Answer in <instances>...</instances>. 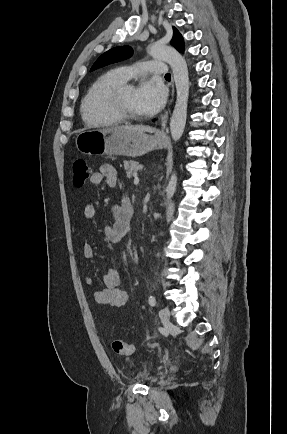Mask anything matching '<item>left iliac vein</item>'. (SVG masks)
I'll return each mask as SVG.
<instances>
[{"instance_id": "obj_1", "label": "left iliac vein", "mask_w": 287, "mask_h": 434, "mask_svg": "<svg viewBox=\"0 0 287 434\" xmlns=\"http://www.w3.org/2000/svg\"><path fill=\"white\" fill-rule=\"evenodd\" d=\"M159 317H160V319H161V321H162V323L164 325L167 324L169 322V319H170V311H169V309L166 308V307L162 308L159 311Z\"/></svg>"}]
</instances>
